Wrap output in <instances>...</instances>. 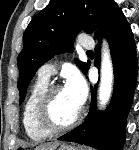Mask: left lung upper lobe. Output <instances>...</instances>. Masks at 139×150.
<instances>
[{"label": "left lung upper lobe", "instance_id": "obj_1", "mask_svg": "<svg viewBox=\"0 0 139 150\" xmlns=\"http://www.w3.org/2000/svg\"><path fill=\"white\" fill-rule=\"evenodd\" d=\"M114 0H51L29 23L23 36V50L18 56L20 71L18 89L20 104L24 101L28 84L37 69L57 54L73 51V39L84 30L92 33V21L104 27ZM87 73L90 63L75 59Z\"/></svg>", "mask_w": 139, "mask_h": 150}]
</instances>
